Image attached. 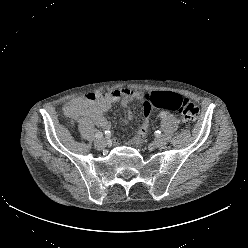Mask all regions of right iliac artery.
<instances>
[{
	"label": "right iliac artery",
	"instance_id": "right-iliac-artery-1",
	"mask_svg": "<svg viewBox=\"0 0 248 248\" xmlns=\"http://www.w3.org/2000/svg\"><path fill=\"white\" fill-rule=\"evenodd\" d=\"M102 136H103V134H102L101 132H97V133L95 134V137H96L97 139L102 138Z\"/></svg>",
	"mask_w": 248,
	"mask_h": 248
}]
</instances>
